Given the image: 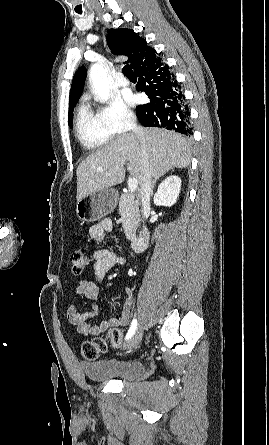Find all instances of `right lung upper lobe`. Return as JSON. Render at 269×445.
<instances>
[{
    "label": "right lung upper lobe",
    "instance_id": "right-lung-upper-lobe-1",
    "mask_svg": "<svg viewBox=\"0 0 269 445\" xmlns=\"http://www.w3.org/2000/svg\"><path fill=\"white\" fill-rule=\"evenodd\" d=\"M107 44L116 55L128 56L125 63H130L136 71L143 64L156 57V51L147 46L146 40L139 37L132 29H109ZM86 69L80 67L75 73L70 90L69 106L76 104L85 84Z\"/></svg>",
    "mask_w": 269,
    "mask_h": 445
}]
</instances>
